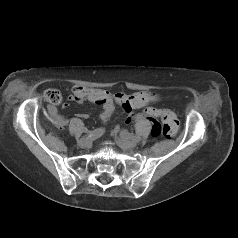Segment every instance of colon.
<instances>
[{"instance_id":"obj_1","label":"colon","mask_w":238,"mask_h":238,"mask_svg":"<svg viewBox=\"0 0 238 238\" xmlns=\"http://www.w3.org/2000/svg\"><path fill=\"white\" fill-rule=\"evenodd\" d=\"M44 98L52 105H59L62 101V96L57 89H47L44 92ZM144 115L151 120H154V118L156 120L162 119V124L157 122L153 124L151 131L153 137L164 136L171 138L177 133L178 120L172 113L148 107L144 110Z\"/></svg>"}]
</instances>
